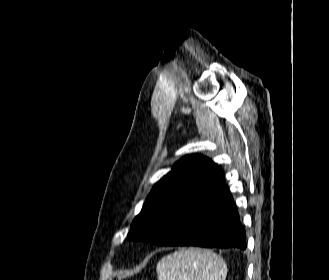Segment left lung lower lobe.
Wrapping results in <instances>:
<instances>
[{
	"mask_svg": "<svg viewBox=\"0 0 329 280\" xmlns=\"http://www.w3.org/2000/svg\"><path fill=\"white\" fill-rule=\"evenodd\" d=\"M159 234L169 238V246L246 248L245 229L224 182L186 203Z\"/></svg>",
	"mask_w": 329,
	"mask_h": 280,
	"instance_id": "0a47b994",
	"label": "left lung lower lobe"
}]
</instances>
